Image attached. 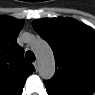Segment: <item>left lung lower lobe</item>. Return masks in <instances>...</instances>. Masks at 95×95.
<instances>
[{"instance_id":"obj_1","label":"left lung lower lobe","mask_w":95,"mask_h":95,"mask_svg":"<svg viewBox=\"0 0 95 95\" xmlns=\"http://www.w3.org/2000/svg\"><path fill=\"white\" fill-rule=\"evenodd\" d=\"M47 93L49 95H85L83 92H74V91H52L46 86Z\"/></svg>"}]
</instances>
